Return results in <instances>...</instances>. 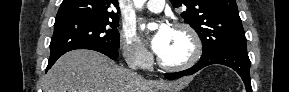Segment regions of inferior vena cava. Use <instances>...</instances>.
<instances>
[{
  "label": "inferior vena cava",
  "mask_w": 289,
  "mask_h": 92,
  "mask_svg": "<svg viewBox=\"0 0 289 92\" xmlns=\"http://www.w3.org/2000/svg\"><path fill=\"white\" fill-rule=\"evenodd\" d=\"M137 51V47L136 46H133L129 49V52H130V55L127 57L126 61H127V64L128 66L131 68V69H136V63H135V60L133 58V54L134 52Z\"/></svg>",
  "instance_id": "obj_1"
}]
</instances>
